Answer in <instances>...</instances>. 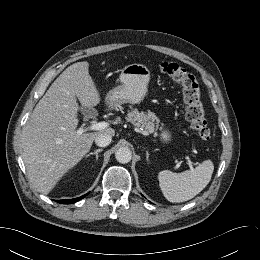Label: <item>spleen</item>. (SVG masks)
Here are the masks:
<instances>
[{
    "mask_svg": "<svg viewBox=\"0 0 260 260\" xmlns=\"http://www.w3.org/2000/svg\"><path fill=\"white\" fill-rule=\"evenodd\" d=\"M213 171L214 165L211 160H205L195 169L181 173L163 170L158 174L159 186L168 201L175 203L188 201L208 185Z\"/></svg>",
    "mask_w": 260,
    "mask_h": 260,
    "instance_id": "obj_1",
    "label": "spleen"
}]
</instances>
